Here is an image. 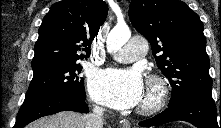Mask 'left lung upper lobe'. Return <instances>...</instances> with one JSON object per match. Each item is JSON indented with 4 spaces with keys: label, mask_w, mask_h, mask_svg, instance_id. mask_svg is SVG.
Listing matches in <instances>:
<instances>
[{
    "label": "left lung upper lobe",
    "mask_w": 221,
    "mask_h": 128,
    "mask_svg": "<svg viewBox=\"0 0 221 128\" xmlns=\"http://www.w3.org/2000/svg\"><path fill=\"white\" fill-rule=\"evenodd\" d=\"M129 17L150 42L159 69L170 81L168 107L193 96H212L206 38L194 11L179 0H132Z\"/></svg>",
    "instance_id": "1"
}]
</instances>
